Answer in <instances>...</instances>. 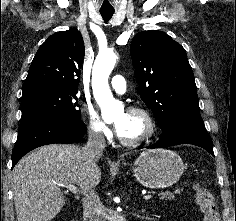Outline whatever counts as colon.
<instances>
[{"mask_svg":"<svg viewBox=\"0 0 236 221\" xmlns=\"http://www.w3.org/2000/svg\"><path fill=\"white\" fill-rule=\"evenodd\" d=\"M195 200L203 214V221H219V213L212 193L204 186L194 185Z\"/></svg>","mask_w":236,"mask_h":221,"instance_id":"5ec220e1","label":"colon"}]
</instances>
